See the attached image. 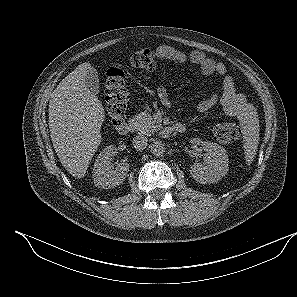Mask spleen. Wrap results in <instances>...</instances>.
<instances>
[{
	"instance_id": "3e777b00",
	"label": "spleen",
	"mask_w": 297,
	"mask_h": 297,
	"mask_svg": "<svg viewBox=\"0 0 297 297\" xmlns=\"http://www.w3.org/2000/svg\"><path fill=\"white\" fill-rule=\"evenodd\" d=\"M243 125L244 151L247 164H250L256 155L259 141V119L254 110L241 118Z\"/></svg>"
}]
</instances>
